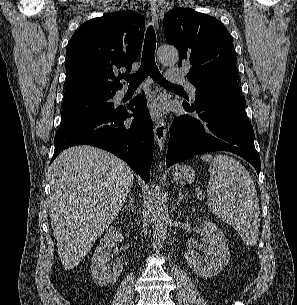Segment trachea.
Here are the masks:
<instances>
[{
	"instance_id": "3493384b",
	"label": "trachea",
	"mask_w": 297,
	"mask_h": 305,
	"mask_svg": "<svg viewBox=\"0 0 297 305\" xmlns=\"http://www.w3.org/2000/svg\"><path fill=\"white\" fill-rule=\"evenodd\" d=\"M156 49V34L152 26H149L146 32L141 65L138 71L133 75H123L129 86H137L150 76L154 81L163 87H181L168 82L159 72L155 62L154 53Z\"/></svg>"
}]
</instances>
